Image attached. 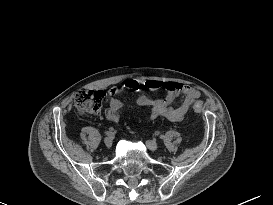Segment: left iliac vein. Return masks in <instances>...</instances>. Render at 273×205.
Here are the masks:
<instances>
[{
  "mask_svg": "<svg viewBox=\"0 0 273 205\" xmlns=\"http://www.w3.org/2000/svg\"><path fill=\"white\" fill-rule=\"evenodd\" d=\"M146 145L152 151H156L158 149V144L153 140H147Z\"/></svg>",
  "mask_w": 273,
  "mask_h": 205,
  "instance_id": "1",
  "label": "left iliac vein"
}]
</instances>
